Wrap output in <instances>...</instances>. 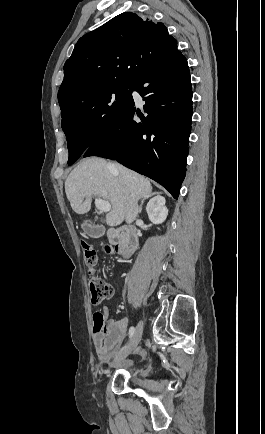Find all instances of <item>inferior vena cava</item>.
<instances>
[{
	"mask_svg": "<svg viewBox=\"0 0 265 434\" xmlns=\"http://www.w3.org/2000/svg\"><path fill=\"white\" fill-rule=\"evenodd\" d=\"M138 216V204L133 200H128L125 210V220L127 224H132Z\"/></svg>",
	"mask_w": 265,
	"mask_h": 434,
	"instance_id": "1",
	"label": "inferior vena cava"
}]
</instances>
